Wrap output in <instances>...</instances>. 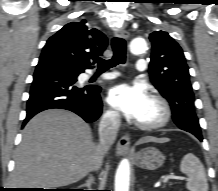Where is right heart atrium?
Returning <instances> with one entry per match:
<instances>
[{
	"label": "right heart atrium",
	"instance_id": "1",
	"mask_svg": "<svg viewBox=\"0 0 218 191\" xmlns=\"http://www.w3.org/2000/svg\"><path fill=\"white\" fill-rule=\"evenodd\" d=\"M105 119L107 122L111 123V124H114L118 121L119 119V116L118 114L113 111V110H108L105 114Z\"/></svg>",
	"mask_w": 218,
	"mask_h": 191
}]
</instances>
